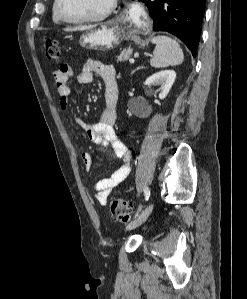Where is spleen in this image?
I'll return each instance as SVG.
<instances>
[{
	"mask_svg": "<svg viewBox=\"0 0 247 299\" xmlns=\"http://www.w3.org/2000/svg\"><path fill=\"white\" fill-rule=\"evenodd\" d=\"M155 50L150 65L155 68L176 66L183 62L184 55L180 45L172 38L159 35L152 38Z\"/></svg>",
	"mask_w": 247,
	"mask_h": 299,
	"instance_id": "obj_1",
	"label": "spleen"
}]
</instances>
